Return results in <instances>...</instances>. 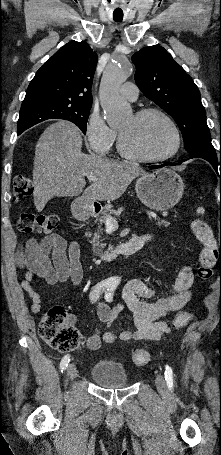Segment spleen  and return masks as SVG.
Instances as JSON below:
<instances>
[{"label":"spleen","mask_w":221,"mask_h":455,"mask_svg":"<svg viewBox=\"0 0 221 455\" xmlns=\"http://www.w3.org/2000/svg\"><path fill=\"white\" fill-rule=\"evenodd\" d=\"M198 214H204V209L202 207L197 209Z\"/></svg>","instance_id":"obj_1"}]
</instances>
